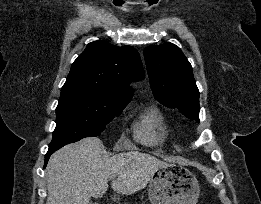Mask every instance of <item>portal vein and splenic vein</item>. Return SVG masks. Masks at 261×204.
<instances>
[{
	"mask_svg": "<svg viewBox=\"0 0 261 204\" xmlns=\"http://www.w3.org/2000/svg\"><path fill=\"white\" fill-rule=\"evenodd\" d=\"M116 178V176H111L109 179L110 180H113V179H115Z\"/></svg>",
	"mask_w": 261,
	"mask_h": 204,
	"instance_id": "portal-vein-and-splenic-vein-1",
	"label": "portal vein and splenic vein"
}]
</instances>
